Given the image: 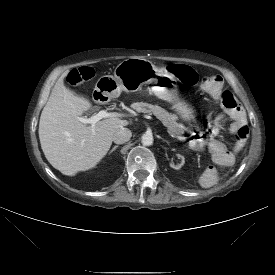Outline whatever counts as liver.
<instances>
[{
  "label": "liver",
  "mask_w": 275,
  "mask_h": 275,
  "mask_svg": "<svg viewBox=\"0 0 275 275\" xmlns=\"http://www.w3.org/2000/svg\"><path fill=\"white\" fill-rule=\"evenodd\" d=\"M64 72L52 88L39 121V139L48 162L62 174L73 176L93 168L107 154L114 133L129 124L120 117H109L94 127L78 118L92 109L91 102L69 90Z\"/></svg>",
  "instance_id": "obj_1"
}]
</instances>
